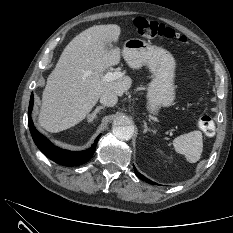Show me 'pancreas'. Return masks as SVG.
<instances>
[{
    "label": "pancreas",
    "mask_w": 233,
    "mask_h": 233,
    "mask_svg": "<svg viewBox=\"0 0 233 233\" xmlns=\"http://www.w3.org/2000/svg\"><path fill=\"white\" fill-rule=\"evenodd\" d=\"M139 89H140V90H141V89H144V87H140Z\"/></svg>",
    "instance_id": "1"
}]
</instances>
